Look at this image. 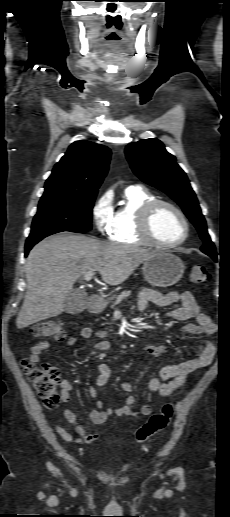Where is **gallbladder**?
Wrapping results in <instances>:
<instances>
[{"label":"gallbladder","instance_id":"bac80fb5","mask_svg":"<svg viewBox=\"0 0 230 517\" xmlns=\"http://www.w3.org/2000/svg\"><path fill=\"white\" fill-rule=\"evenodd\" d=\"M87 299L85 291L73 290L65 298V311L70 314L80 313L85 308Z\"/></svg>","mask_w":230,"mask_h":517}]
</instances>
